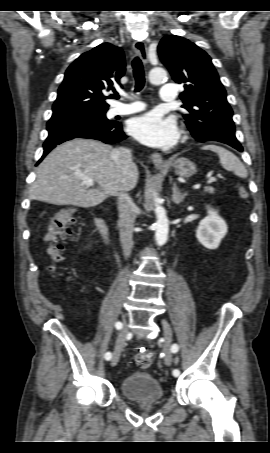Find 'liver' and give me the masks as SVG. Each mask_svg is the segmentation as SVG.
Returning a JSON list of instances; mask_svg holds the SVG:
<instances>
[{
	"mask_svg": "<svg viewBox=\"0 0 270 453\" xmlns=\"http://www.w3.org/2000/svg\"><path fill=\"white\" fill-rule=\"evenodd\" d=\"M113 150L102 142L81 138L56 147L38 166L30 198L89 208L101 204L108 196L132 190L138 181V168L135 163L126 171L118 168L112 158ZM77 174L92 178L97 186H86Z\"/></svg>",
	"mask_w": 270,
	"mask_h": 453,
	"instance_id": "1",
	"label": "liver"
}]
</instances>
